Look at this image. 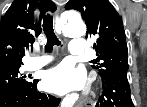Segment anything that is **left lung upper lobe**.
<instances>
[{"label": "left lung upper lobe", "instance_id": "5c2ea615", "mask_svg": "<svg viewBox=\"0 0 147 107\" xmlns=\"http://www.w3.org/2000/svg\"><path fill=\"white\" fill-rule=\"evenodd\" d=\"M66 9L81 12L86 20V38L95 40L97 58L90 61L102 78L128 71V51L122 18L108 0H70Z\"/></svg>", "mask_w": 147, "mask_h": 107}]
</instances>
